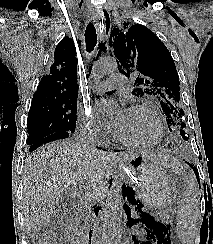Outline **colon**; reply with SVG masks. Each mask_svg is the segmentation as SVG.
Returning <instances> with one entry per match:
<instances>
[{"label": "colon", "mask_w": 213, "mask_h": 244, "mask_svg": "<svg viewBox=\"0 0 213 244\" xmlns=\"http://www.w3.org/2000/svg\"><path fill=\"white\" fill-rule=\"evenodd\" d=\"M175 113L178 114L179 111L175 110ZM38 244H54V237L51 234L47 233L39 239ZM136 244H146V243L137 242Z\"/></svg>", "instance_id": "colon-1"}]
</instances>
